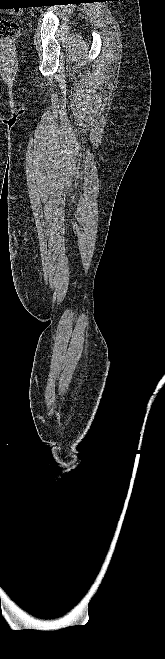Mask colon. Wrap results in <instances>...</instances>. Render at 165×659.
Listing matches in <instances>:
<instances>
[{
    "instance_id": "1",
    "label": "colon",
    "mask_w": 165,
    "mask_h": 659,
    "mask_svg": "<svg viewBox=\"0 0 165 659\" xmlns=\"http://www.w3.org/2000/svg\"><path fill=\"white\" fill-rule=\"evenodd\" d=\"M19 33V26L17 23L2 19L0 20V44L10 46Z\"/></svg>"
}]
</instances>
